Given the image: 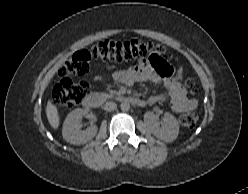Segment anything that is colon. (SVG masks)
I'll return each mask as SVG.
<instances>
[{
  "label": "colon",
  "mask_w": 248,
  "mask_h": 194,
  "mask_svg": "<svg viewBox=\"0 0 248 194\" xmlns=\"http://www.w3.org/2000/svg\"><path fill=\"white\" fill-rule=\"evenodd\" d=\"M165 49L150 41L132 40L126 42H115L102 40L90 49H81L70 56L59 69V82L54 87L53 98L55 102L66 108L78 106L89 90L90 61L99 59L104 61H128L148 56L157 67L164 64L162 58ZM79 77L78 82L73 78ZM122 77V74L119 75ZM186 87L191 93H195L194 81L187 79ZM198 116L190 111L181 116V123L186 127H193Z\"/></svg>",
  "instance_id": "colon-1"
}]
</instances>
